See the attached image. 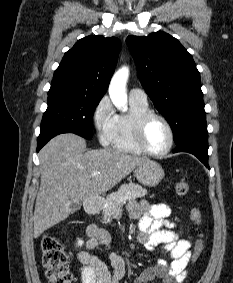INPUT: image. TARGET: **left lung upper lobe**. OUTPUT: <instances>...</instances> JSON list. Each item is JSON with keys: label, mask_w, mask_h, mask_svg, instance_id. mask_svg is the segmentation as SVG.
<instances>
[{"label": "left lung upper lobe", "mask_w": 233, "mask_h": 283, "mask_svg": "<svg viewBox=\"0 0 233 283\" xmlns=\"http://www.w3.org/2000/svg\"><path fill=\"white\" fill-rule=\"evenodd\" d=\"M126 42L141 84L169 122L176 145L208 137L200 73L191 54L163 31L129 36Z\"/></svg>", "instance_id": "obj_1"}]
</instances>
